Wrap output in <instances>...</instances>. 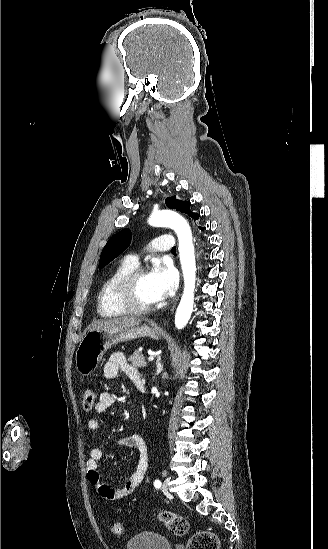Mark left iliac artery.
<instances>
[{"mask_svg": "<svg viewBox=\"0 0 328 549\" xmlns=\"http://www.w3.org/2000/svg\"><path fill=\"white\" fill-rule=\"evenodd\" d=\"M154 486H155L156 488H160V487H161V482H160L159 480H155Z\"/></svg>", "mask_w": 328, "mask_h": 549, "instance_id": "1", "label": "left iliac artery"}]
</instances>
